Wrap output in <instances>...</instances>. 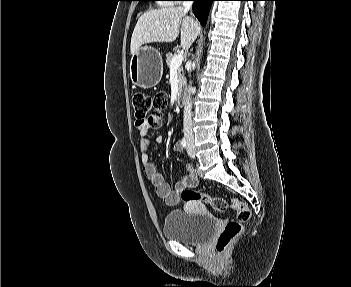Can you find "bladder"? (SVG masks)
<instances>
[{
	"label": "bladder",
	"instance_id": "obj_1",
	"mask_svg": "<svg viewBox=\"0 0 351 287\" xmlns=\"http://www.w3.org/2000/svg\"><path fill=\"white\" fill-rule=\"evenodd\" d=\"M216 226L217 220L211 215L174 210L165 217L163 234L166 239L176 240L184 245L198 246L212 236Z\"/></svg>",
	"mask_w": 351,
	"mask_h": 287
}]
</instances>
